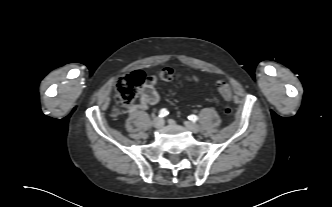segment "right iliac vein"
I'll return each instance as SVG.
<instances>
[{"instance_id": "right-iliac-vein-1", "label": "right iliac vein", "mask_w": 332, "mask_h": 207, "mask_svg": "<svg viewBox=\"0 0 332 207\" xmlns=\"http://www.w3.org/2000/svg\"><path fill=\"white\" fill-rule=\"evenodd\" d=\"M152 125L155 128H161L164 125V120L161 117H156L153 121H152Z\"/></svg>"}]
</instances>
